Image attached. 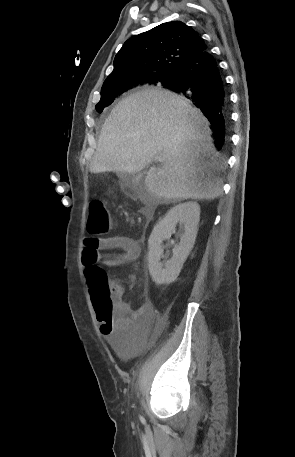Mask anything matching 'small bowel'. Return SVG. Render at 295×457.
Returning <instances> with one entry per match:
<instances>
[{"mask_svg": "<svg viewBox=\"0 0 295 457\" xmlns=\"http://www.w3.org/2000/svg\"><path fill=\"white\" fill-rule=\"evenodd\" d=\"M121 250V253L104 256L103 252L108 250ZM140 254L138 242L128 236H86L83 241L82 262H100L107 268H117L135 261ZM116 311L110 322L98 319L100 330L107 338H133L146 326L153 313L151 304L146 303L138 310H132L130 305L123 300L124 290L121 286L115 285Z\"/></svg>", "mask_w": 295, "mask_h": 457, "instance_id": "1", "label": "small bowel"}]
</instances>
